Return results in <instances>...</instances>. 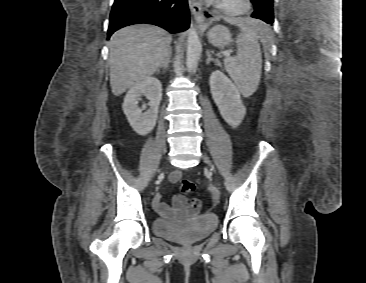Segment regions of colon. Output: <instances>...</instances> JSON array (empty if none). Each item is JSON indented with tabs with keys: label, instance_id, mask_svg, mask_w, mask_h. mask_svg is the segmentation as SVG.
Returning a JSON list of instances; mask_svg holds the SVG:
<instances>
[{
	"label": "colon",
	"instance_id": "obj_1",
	"mask_svg": "<svg viewBox=\"0 0 366 283\" xmlns=\"http://www.w3.org/2000/svg\"><path fill=\"white\" fill-rule=\"evenodd\" d=\"M180 192L183 195H190L195 192L196 186L195 184L187 179H184L179 184ZM200 206V203L198 200H192L189 205V213L191 215L195 214Z\"/></svg>",
	"mask_w": 366,
	"mask_h": 283
}]
</instances>
